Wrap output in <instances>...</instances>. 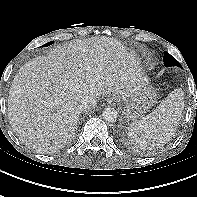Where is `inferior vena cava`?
Returning a JSON list of instances; mask_svg holds the SVG:
<instances>
[{
	"mask_svg": "<svg viewBox=\"0 0 197 197\" xmlns=\"http://www.w3.org/2000/svg\"><path fill=\"white\" fill-rule=\"evenodd\" d=\"M97 99L92 96H86L81 99L79 108L81 111H85L96 105Z\"/></svg>",
	"mask_w": 197,
	"mask_h": 197,
	"instance_id": "obj_1",
	"label": "inferior vena cava"
}]
</instances>
